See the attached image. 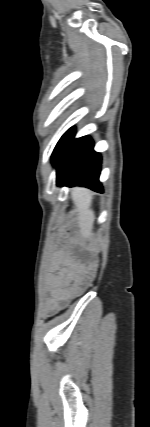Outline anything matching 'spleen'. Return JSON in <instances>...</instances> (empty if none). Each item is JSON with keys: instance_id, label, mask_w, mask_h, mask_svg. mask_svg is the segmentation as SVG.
Masks as SVG:
<instances>
[{"instance_id": "3e777b00", "label": "spleen", "mask_w": 150, "mask_h": 427, "mask_svg": "<svg viewBox=\"0 0 150 427\" xmlns=\"http://www.w3.org/2000/svg\"><path fill=\"white\" fill-rule=\"evenodd\" d=\"M72 199L76 206L77 220L81 232L85 236H90L95 220L94 211L91 209L92 194L88 190L75 189L72 191Z\"/></svg>"}]
</instances>
